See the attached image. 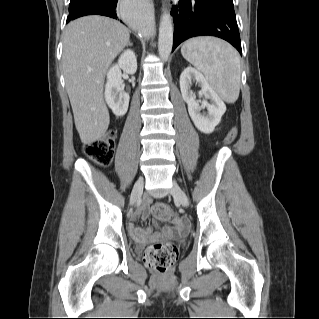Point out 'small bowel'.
<instances>
[{
	"instance_id": "small-bowel-1",
	"label": "small bowel",
	"mask_w": 319,
	"mask_h": 319,
	"mask_svg": "<svg viewBox=\"0 0 319 319\" xmlns=\"http://www.w3.org/2000/svg\"><path fill=\"white\" fill-rule=\"evenodd\" d=\"M151 204V199L149 197H144L141 202V207L136 211L135 218L141 219L148 215V209ZM173 225L175 226V230L167 229L162 231L161 236L162 237H173L179 233L185 232L189 228V224L186 220H184L181 217H175L172 220ZM129 234L141 241H149L154 238V229L152 227H147L146 229L137 228L133 225H129L128 227Z\"/></svg>"
}]
</instances>
